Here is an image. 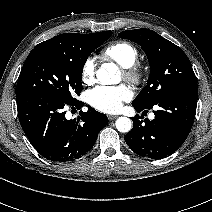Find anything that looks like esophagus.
Listing matches in <instances>:
<instances>
[{"label": "esophagus", "mask_w": 212, "mask_h": 212, "mask_svg": "<svg viewBox=\"0 0 212 212\" xmlns=\"http://www.w3.org/2000/svg\"><path fill=\"white\" fill-rule=\"evenodd\" d=\"M117 117H118V116H116V115H109V116H108V119H109V120H115Z\"/></svg>", "instance_id": "obj_1"}]
</instances>
